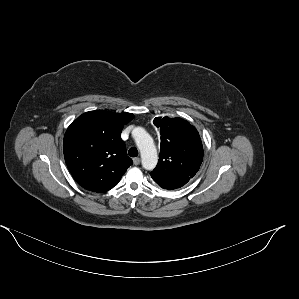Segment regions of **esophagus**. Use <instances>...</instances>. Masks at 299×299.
<instances>
[{"label":"esophagus","mask_w":299,"mask_h":299,"mask_svg":"<svg viewBox=\"0 0 299 299\" xmlns=\"http://www.w3.org/2000/svg\"><path fill=\"white\" fill-rule=\"evenodd\" d=\"M133 163H134V165H139L140 164V158L139 157L134 158Z\"/></svg>","instance_id":"obj_1"}]
</instances>
